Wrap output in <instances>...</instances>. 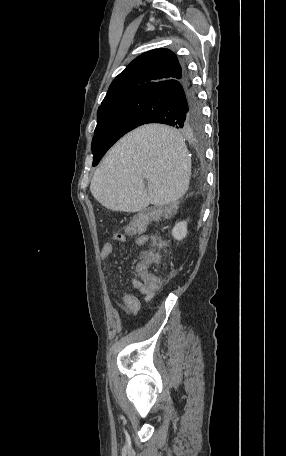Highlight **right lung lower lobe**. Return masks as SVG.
Returning a JSON list of instances; mask_svg holds the SVG:
<instances>
[{"label": "right lung lower lobe", "instance_id": "right-lung-lower-lobe-1", "mask_svg": "<svg viewBox=\"0 0 286 456\" xmlns=\"http://www.w3.org/2000/svg\"><path fill=\"white\" fill-rule=\"evenodd\" d=\"M128 97L136 107L138 126L163 123L194 133L202 125L201 107L186 71L180 77L152 84Z\"/></svg>", "mask_w": 286, "mask_h": 456}]
</instances>
